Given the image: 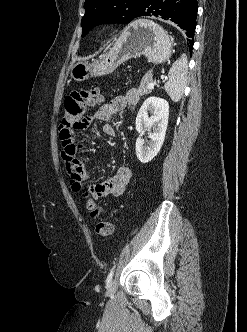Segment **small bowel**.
I'll return each mask as SVG.
<instances>
[{
    "mask_svg": "<svg viewBox=\"0 0 247 332\" xmlns=\"http://www.w3.org/2000/svg\"><path fill=\"white\" fill-rule=\"evenodd\" d=\"M138 98L137 90L130 89L125 94L116 96L110 102L102 105L87 120L102 122L103 132L110 137H115L116 131L111 124L112 117L126 108L133 109ZM77 152L78 146L73 137L69 142H63L62 159L69 173L71 188L74 192H88L94 201L109 196L119 197L123 194L131 180L132 173L129 167L121 166L111 179L85 188L84 183L88 179V174L84 165L77 159Z\"/></svg>",
    "mask_w": 247,
    "mask_h": 332,
    "instance_id": "obj_1",
    "label": "small bowel"
}]
</instances>
